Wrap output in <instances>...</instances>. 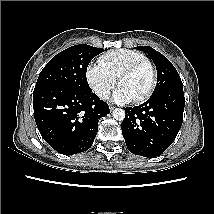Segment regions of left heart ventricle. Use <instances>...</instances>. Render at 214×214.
Listing matches in <instances>:
<instances>
[{"label":"left heart ventricle","mask_w":214,"mask_h":214,"mask_svg":"<svg viewBox=\"0 0 214 214\" xmlns=\"http://www.w3.org/2000/svg\"><path fill=\"white\" fill-rule=\"evenodd\" d=\"M150 82V72L146 66L141 67L131 75L120 80V87H123L133 99L138 98L146 90Z\"/></svg>","instance_id":"obj_1"}]
</instances>
